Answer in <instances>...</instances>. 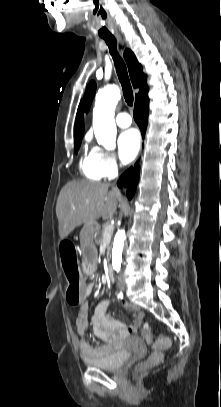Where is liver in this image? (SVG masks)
Instances as JSON below:
<instances>
[{"label":"liver","instance_id":"liver-1","mask_svg":"<svg viewBox=\"0 0 221 407\" xmlns=\"http://www.w3.org/2000/svg\"><path fill=\"white\" fill-rule=\"evenodd\" d=\"M108 189V184L88 181H72L62 188L56 204L61 240L82 224H95L99 217H113L120 194Z\"/></svg>","mask_w":221,"mask_h":407}]
</instances>
